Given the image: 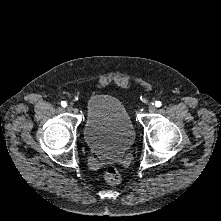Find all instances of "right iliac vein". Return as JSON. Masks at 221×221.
I'll return each mask as SVG.
<instances>
[{
  "label": "right iliac vein",
  "mask_w": 221,
  "mask_h": 221,
  "mask_svg": "<svg viewBox=\"0 0 221 221\" xmlns=\"http://www.w3.org/2000/svg\"><path fill=\"white\" fill-rule=\"evenodd\" d=\"M66 109H67V111H68V112H72V111H73V107H72V106H70V105H69V106H67V107H66Z\"/></svg>",
  "instance_id": "right-iliac-vein-1"
}]
</instances>
